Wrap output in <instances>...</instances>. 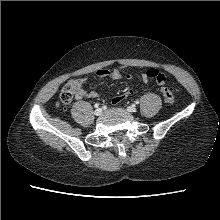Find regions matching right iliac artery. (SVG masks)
Instances as JSON below:
<instances>
[{
  "label": "right iliac artery",
  "instance_id": "82829eb1",
  "mask_svg": "<svg viewBox=\"0 0 220 220\" xmlns=\"http://www.w3.org/2000/svg\"><path fill=\"white\" fill-rule=\"evenodd\" d=\"M94 106H95V108H98V107H99V104H98V103H96Z\"/></svg>",
  "mask_w": 220,
  "mask_h": 220
}]
</instances>
